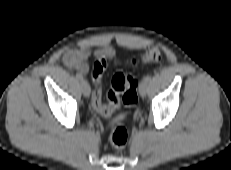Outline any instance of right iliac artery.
<instances>
[{
    "label": "right iliac artery",
    "instance_id": "right-iliac-artery-1",
    "mask_svg": "<svg viewBox=\"0 0 231 170\" xmlns=\"http://www.w3.org/2000/svg\"><path fill=\"white\" fill-rule=\"evenodd\" d=\"M76 78L83 81V76H81L80 74H76Z\"/></svg>",
    "mask_w": 231,
    "mask_h": 170
}]
</instances>
